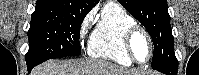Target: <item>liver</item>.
I'll return each mask as SVG.
<instances>
[{
	"mask_svg": "<svg viewBox=\"0 0 199 75\" xmlns=\"http://www.w3.org/2000/svg\"><path fill=\"white\" fill-rule=\"evenodd\" d=\"M133 69H126L104 60H50L35 67L31 75H139Z\"/></svg>",
	"mask_w": 199,
	"mask_h": 75,
	"instance_id": "liver-1",
	"label": "liver"
}]
</instances>
